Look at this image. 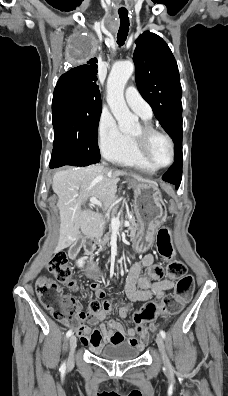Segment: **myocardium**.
Returning <instances> with one entry per match:
<instances>
[{
    "mask_svg": "<svg viewBox=\"0 0 228 396\" xmlns=\"http://www.w3.org/2000/svg\"><path fill=\"white\" fill-rule=\"evenodd\" d=\"M154 135L162 136L163 138H165L167 140V142L169 144L171 156H170V160L164 165H160V166L155 165L149 157V153H148L149 141H150L151 137ZM131 139L133 141V144L135 146V149H136V152H137L139 158L142 160V162L146 166L153 169L154 171L165 169V168L169 167L174 162L175 147H174V142H173L172 138L166 132L156 128L152 124L146 123V122L143 123L141 125L140 136H132Z\"/></svg>",
    "mask_w": 228,
    "mask_h": 396,
    "instance_id": "f54148a6",
    "label": "myocardium"
}]
</instances>
